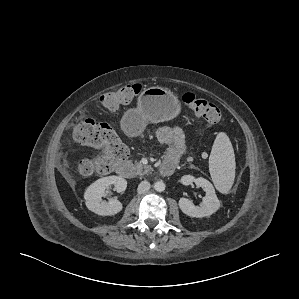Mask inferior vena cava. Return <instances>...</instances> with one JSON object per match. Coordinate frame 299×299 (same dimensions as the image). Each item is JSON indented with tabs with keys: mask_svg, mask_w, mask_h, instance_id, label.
<instances>
[{
	"mask_svg": "<svg viewBox=\"0 0 299 299\" xmlns=\"http://www.w3.org/2000/svg\"><path fill=\"white\" fill-rule=\"evenodd\" d=\"M151 185L148 181L144 180L142 182H140V184L138 185V193L139 194H144L146 193L149 189H150Z\"/></svg>",
	"mask_w": 299,
	"mask_h": 299,
	"instance_id": "602c4592",
	"label": "inferior vena cava"
}]
</instances>
